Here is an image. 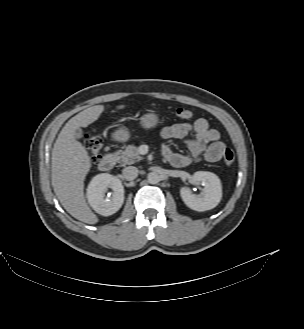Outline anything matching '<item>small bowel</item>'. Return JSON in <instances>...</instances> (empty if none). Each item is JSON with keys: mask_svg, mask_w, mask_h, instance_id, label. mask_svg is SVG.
I'll list each match as a JSON object with an SVG mask.
<instances>
[{"mask_svg": "<svg viewBox=\"0 0 304 329\" xmlns=\"http://www.w3.org/2000/svg\"><path fill=\"white\" fill-rule=\"evenodd\" d=\"M161 136L166 140L183 141L187 145L188 153L176 152L168 144L162 147L163 157L177 168L186 167L202 159L217 162L222 158L225 149L219 132L211 128L204 118L197 119L193 124L177 123L166 126L162 129Z\"/></svg>", "mask_w": 304, "mask_h": 329, "instance_id": "obj_1", "label": "small bowel"}]
</instances>
